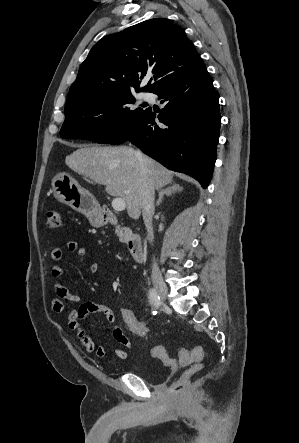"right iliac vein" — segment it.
I'll return each mask as SVG.
<instances>
[{"mask_svg": "<svg viewBox=\"0 0 299 443\" xmlns=\"http://www.w3.org/2000/svg\"><path fill=\"white\" fill-rule=\"evenodd\" d=\"M153 281V285L156 288L158 294L160 295V297L165 300L168 294V289L166 284L164 283V281L162 280L161 277L159 276H154L152 278Z\"/></svg>", "mask_w": 299, "mask_h": 443, "instance_id": "obj_1", "label": "right iliac vein"}]
</instances>
